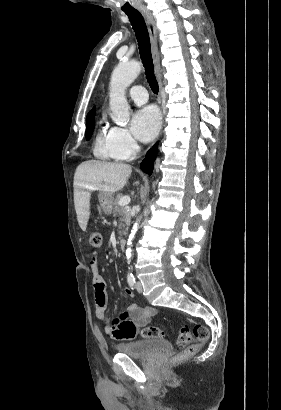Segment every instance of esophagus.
Listing matches in <instances>:
<instances>
[{
	"label": "esophagus",
	"mask_w": 281,
	"mask_h": 410,
	"mask_svg": "<svg viewBox=\"0 0 281 410\" xmlns=\"http://www.w3.org/2000/svg\"><path fill=\"white\" fill-rule=\"evenodd\" d=\"M142 16L145 19L149 36L151 42V51L154 63V70L157 81L160 86V91L162 89V71H161V62H160V54L157 45V28L155 24V20L153 18L152 13L148 9H140Z\"/></svg>",
	"instance_id": "34e87169"
}]
</instances>
